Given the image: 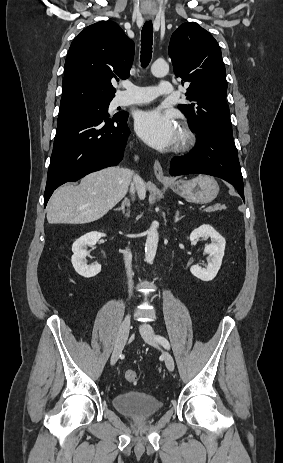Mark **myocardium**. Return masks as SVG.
I'll use <instances>...</instances> for the list:
<instances>
[{
    "instance_id": "myocardium-1",
    "label": "myocardium",
    "mask_w": 283,
    "mask_h": 463,
    "mask_svg": "<svg viewBox=\"0 0 283 463\" xmlns=\"http://www.w3.org/2000/svg\"><path fill=\"white\" fill-rule=\"evenodd\" d=\"M195 143V135L192 130L185 124H182L178 129V138L176 142V150L184 151L189 149Z\"/></svg>"
}]
</instances>
